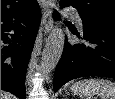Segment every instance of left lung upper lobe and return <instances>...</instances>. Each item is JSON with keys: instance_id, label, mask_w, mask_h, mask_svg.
<instances>
[{"instance_id": "1", "label": "left lung upper lobe", "mask_w": 115, "mask_h": 99, "mask_svg": "<svg viewBox=\"0 0 115 99\" xmlns=\"http://www.w3.org/2000/svg\"><path fill=\"white\" fill-rule=\"evenodd\" d=\"M60 5L76 8L83 23L115 31L114 0H61Z\"/></svg>"}]
</instances>
